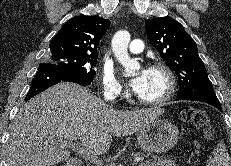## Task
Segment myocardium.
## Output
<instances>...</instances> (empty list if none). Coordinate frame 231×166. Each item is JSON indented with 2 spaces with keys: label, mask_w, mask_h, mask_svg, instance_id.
<instances>
[{
  "label": "myocardium",
  "mask_w": 231,
  "mask_h": 166,
  "mask_svg": "<svg viewBox=\"0 0 231 166\" xmlns=\"http://www.w3.org/2000/svg\"><path fill=\"white\" fill-rule=\"evenodd\" d=\"M149 70L158 71L165 76L167 82L166 89L164 93L156 99L147 100L138 97V100L140 101V103L147 106H159L166 103L174 95L177 84L176 76L173 70L168 65L162 62L153 63L149 66Z\"/></svg>",
  "instance_id": "f54148a6"
}]
</instances>
